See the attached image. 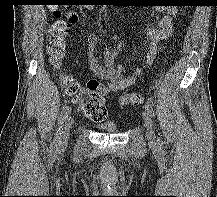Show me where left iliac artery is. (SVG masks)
I'll return each mask as SVG.
<instances>
[{"instance_id": "left-iliac-artery-1", "label": "left iliac artery", "mask_w": 217, "mask_h": 197, "mask_svg": "<svg viewBox=\"0 0 217 197\" xmlns=\"http://www.w3.org/2000/svg\"><path fill=\"white\" fill-rule=\"evenodd\" d=\"M146 110L148 111V113L150 114L151 117L155 116V112L154 109L152 107L151 101H148L145 105ZM157 144L159 146H162V141L160 140V138L157 139Z\"/></svg>"}]
</instances>
